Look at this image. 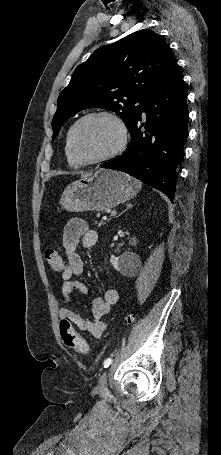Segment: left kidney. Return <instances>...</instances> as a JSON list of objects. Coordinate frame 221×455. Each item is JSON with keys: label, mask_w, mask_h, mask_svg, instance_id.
Segmentation results:
<instances>
[{"label": "left kidney", "mask_w": 221, "mask_h": 455, "mask_svg": "<svg viewBox=\"0 0 221 455\" xmlns=\"http://www.w3.org/2000/svg\"><path fill=\"white\" fill-rule=\"evenodd\" d=\"M137 262L138 256L133 252H124L118 257L112 256L110 259V263L115 270L124 272L131 270Z\"/></svg>", "instance_id": "obj_1"}]
</instances>
